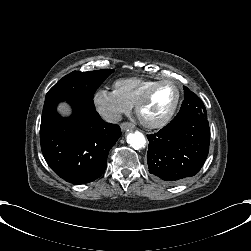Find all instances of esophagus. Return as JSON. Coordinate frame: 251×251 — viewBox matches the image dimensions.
I'll return each mask as SVG.
<instances>
[{
	"instance_id": "esophagus-1",
	"label": "esophagus",
	"mask_w": 251,
	"mask_h": 251,
	"mask_svg": "<svg viewBox=\"0 0 251 251\" xmlns=\"http://www.w3.org/2000/svg\"><path fill=\"white\" fill-rule=\"evenodd\" d=\"M120 126H121L122 131H129V130L134 129L135 127L134 124L130 122H124Z\"/></svg>"
}]
</instances>
